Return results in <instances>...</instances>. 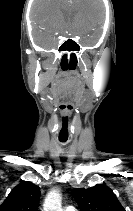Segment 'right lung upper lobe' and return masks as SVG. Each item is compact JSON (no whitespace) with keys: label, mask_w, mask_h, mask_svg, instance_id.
Wrapping results in <instances>:
<instances>
[{"label":"right lung upper lobe","mask_w":133,"mask_h":211,"mask_svg":"<svg viewBox=\"0 0 133 211\" xmlns=\"http://www.w3.org/2000/svg\"><path fill=\"white\" fill-rule=\"evenodd\" d=\"M40 189L32 182L17 185L0 206V211H38Z\"/></svg>","instance_id":"cb5924a9"}]
</instances>
